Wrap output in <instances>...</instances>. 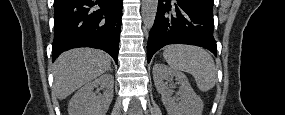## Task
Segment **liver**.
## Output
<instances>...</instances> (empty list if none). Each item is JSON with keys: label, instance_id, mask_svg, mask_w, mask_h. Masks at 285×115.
<instances>
[{"label": "liver", "instance_id": "1", "mask_svg": "<svg viewBox=\"0 0 285 115\" xmlns=\"http://www.w3.org/2000/svg\"><path fill=\"white\" fill-rule=\"evenodd\" d=\"M111 58L101 50L79 48L61 54L53 65L54 90L63 100L110 69Z\"/></svg>", "mask_w": 285, "mask_h": 115}]
</instances>
